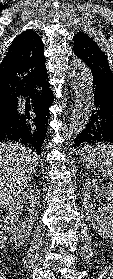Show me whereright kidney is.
<instances>
[{"label":"right kidney","mask_w":113,"mask_h":279,"mask_svg":"<svg viewBox=\"0 0 113 279\" xmlns=\"http://www.w3.org/2000/svg\"><path fill=\"white\" fill-rule=\"evenodd\" d=\"M30 201L29 217L20 220L23 212V203ZM40 204V192L38 189L30 188L23 192L8 207L4 216V230L9 234L10 240L16 245H22L29 238L34 223L38 217Z\"/></svg>","instance_id":"right-kidney-1"}]
</instances>
